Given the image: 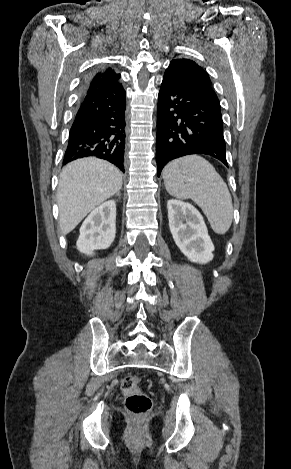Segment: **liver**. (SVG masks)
Returning <instances> with one entry per match:
<instances>
[{
    "label": "liver",
    "mask_w": 291,
    "mask_h": 469,
    "mask_svg": "<svg viewBox=\"0 0 291 469\" xmlns=\"http://www.w3.org/2000/svg\"><path fill=\"white\" fill-rule=\"evenodd\" d=\"M122 183L121 172L101 159L83 158L65 166L57 192L62 233L71 232L89 212L116 194Z\"/></svg>",
    "instance_id": "1"
}]
</instances>
